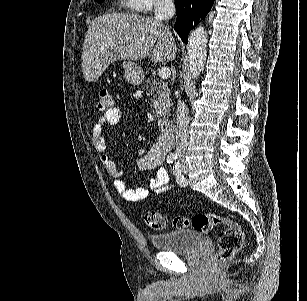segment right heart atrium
I'll use <instances>...</instances> for the list:
<instances>
[{
  "mask_svg": "<svg viewBox=\"0 0 307 301\" xmlns=\"http://www.w3.org/2000/svg\"><path fill=\"white\" fill-rule=\"evenodd\" d=\"M134 11H156L161 7V0H133Z\"/></svg>",
  "mask_w": 307,
  "mask_h": 301,
  "instance_id": "1",
  "label": "right heart atrium"
}]
</instances>
